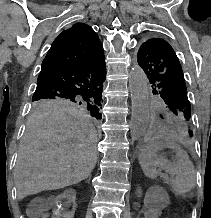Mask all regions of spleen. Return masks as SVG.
Listing matches in <instances>:
<instances>
[{
  "label": "spleen",
  "mask_w": 211,
  "mask_h": 218,
  "mask_svg": "<svg viewBox=\"0 0 211 218\" xmlns=\"http://www.w3.org/2000/svg\"><path fill=\"white\" fill-rule=\"evenodd\" d=\"M177 158V162H170L166 158H159L153 150H146V152L140 154L139 164L145 176L152 178V180L158 176L157 168L171 174L170 184L176 196H183L186 192H191L195 184V172L186 152L180 150Z\"/></svg>",
  "instance_id": "obj_1"
}]
</instances>
